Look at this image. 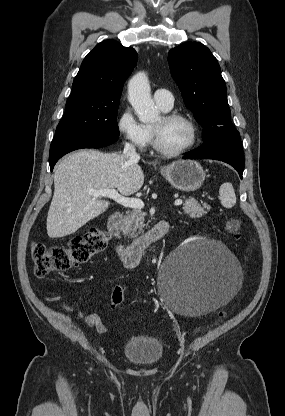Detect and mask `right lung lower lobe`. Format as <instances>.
Returning a JSON list of instances; mask_svg holds the SVG:
<instances>
[{
    "label": "right lung lower lobe",
    "instance_id": "98d812e1",
    "mask_svg": "<svg viewBox=\"0 0 285 416\" xmlns=\"http://www.w3.org/2000/svg\"><path fill=\"white\" fill-rule=\"evenodd\" d=\"M118 136L62 135L55 136L50 146L49 163L53 170L56 162L65 154L82 148H100L114 143Z\"/></svg>",
    "mask_w": 285,
    "mask_h": 416
}]
</instances>
